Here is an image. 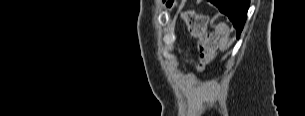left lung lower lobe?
Listing matches in <instances>:
<instances>
[{"label": "left lung lower lobe", "mask_w": 305, "mask_h": 116, "mask_svg": "<svg viewBox=\"0 0 305 116\" xmlns=\"http://www.w3.org/2000/svg\"><path fill=\"white\" fill-rule=\"evenodd\" d=\"M210 2L217 6L220 12L228 16V18L232 21L233 26L237 30V37H239L247 18V11L250 1L210 0Z\"/></svg>", "instance_id": "1"}]
</instances>
